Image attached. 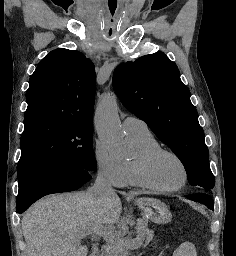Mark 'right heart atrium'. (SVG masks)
<instances>
[{
	"label": "right heart atrium",
	"mask_w": 236,
	"mask_h": 256,
	"mask_svg": "<svg viewBox=\"0 0 236 256\" xmlns=\"http://www.w3.org/2000/svg\"><path fill=\"white\" fill-rule=\"evenodd\" d=\"M92 160L99 179L115 188H123L127 185L123 162L115 160L100 140L94 143Z\"/></svg>",
	"instance_id": "1"
}]
</instances>
